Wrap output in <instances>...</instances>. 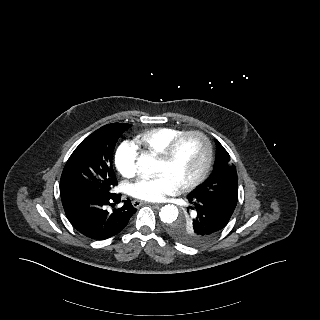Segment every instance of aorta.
<instances>
[{
	"label": "aorta",
	"instance_id": "762f6f07",
	"mask_svg": "<svg viewBox=\"0 0 320 320\" xmlns=\"http://www.w3.org/2000/svg\"><path fill=\"white\" fill-rule=\"evenodd\" d=\"M157 160L148 155H141L137 161V169L142 174H153L156 172ZM179 211L173 204L165 205L159 212L162 222L170 224L178 218Z\"/></svg>",
	"mask_w": 320,
	"mask_h": 320
}]
</instances>
